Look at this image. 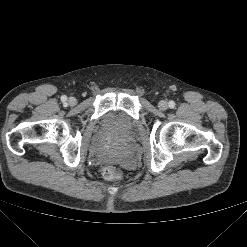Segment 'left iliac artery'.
Returning a JSON list of instances; mask_svg holds the SVG:
<instances>
[{"instance_id":"obj_1","label":"left iliac artery","mask_w":247,"mask_h":247,"mask_svg":"<svg viewBox=\"0 0 247 247\" xmlns=\"http://www.w3.org/2000/svg\"><path fill=\"white\" fill-rule=\"evenodd\" d=\"M169 107L174 108L175 107V102L174 101H169Z\"/></svg>"}]
</instances>
